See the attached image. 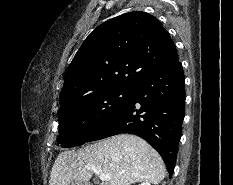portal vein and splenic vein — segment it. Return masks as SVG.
<instances>
[{"instance_id": "1", "label": "portal vein and splenic vein", "mask_w": 233, "mask_h": 185, "mask_svg": "<svg viewBox=\"0 0 233 185\" xmlns=\"http://www.w3.org/2000/svg\"><path fill=\"white\" fill-rule=\"evenodd\" d=\"M85 169L93 171L102 181H109L111 179L109 174L102 173L100 167L94 165H86Z\"/></svg>"}]
</instances>
